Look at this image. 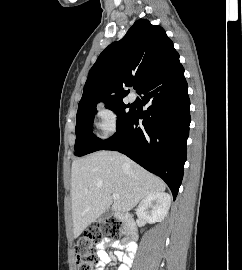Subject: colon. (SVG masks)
<instances>
[{
    "label": "colon",
    "instance_id": "5ec220e1",
    "mask_svg": "<svg viewBox=\"0 0 242 270\" xmlns=\"http://www.w3.org/2000/svg\"><path fill=\"white\" fill-rule=\"evenodd\" d=\"M123 232V223L115 218H109L88 229L74 244L77 270H93L97 261L95 246L106 238H119Z\"/></svg>",
    "mask_w": 242,
    "mask_h": 270
}]
</instances>
